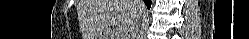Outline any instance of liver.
Returning a JSON list of instances; mask_svg holds the SVG:
<instances>
[{
	"label": "liver",
	"instance_id": "obj_1",
	"mask_svg": "<svg viewBox=\"0 0 249 39\" xmlns=\"http://www.w3.org/2000/svg\"><path fill=\"white\" fill-rule=\"evenodd\" d=\"M144 4L133 0H81L79 17L86 39L102 37V32L114 24L122 23L129 27Z\"/></svg>",
	"mask_w": 249,
	"mask_h": 39
}]
</instances>
